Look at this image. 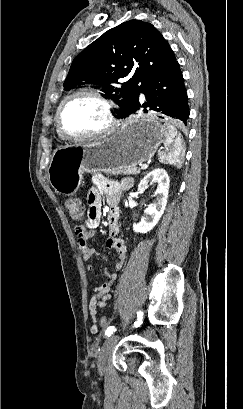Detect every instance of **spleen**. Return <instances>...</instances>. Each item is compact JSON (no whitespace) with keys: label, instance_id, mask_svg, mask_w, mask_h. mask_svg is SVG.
Masks as SVG:
<instances>
[{"label":"spleen","instance_id":"1","mask_svg":"<svg viewBox=\"0 0 243 409\" xmlns=\"http://www.w3.org/2000/svg\"><path fill=\"white\" fill-rule=\"evenodd\" d=\"M163 130V144L165 149L159 153V161L161 163L174 165L179 168L181 167L182 160L185 155L181 134L169 122L164 124Z\"/></svg>","mask_w":243,"mask_h":409}]
</instances>
